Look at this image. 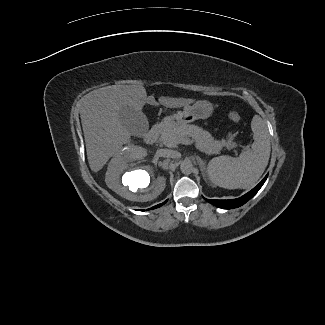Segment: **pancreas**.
<instances>
[{"mask_svg": "<svg viewBox=\"0 0 325 325\" xmlns=\"http://www.w3.org/2000/svg\"><path fill=\"white\" fill-rule=\"evenodd\" d=\"M187 137L195 141L198 149L205 150L210 154H218L224 146L228 148L235 146L232 136L228 140L217 141L209 132L189 124L171 125L165 128L161 133L160 142L167 147H175L176 145L172 144L173 138L184 139Z\"/></svg>", "mask_w": 325, "mask_h": 325, "instance_id": "1", "label": "pancreas"}]
</instances>
